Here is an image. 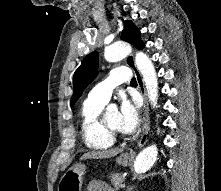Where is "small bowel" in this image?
Here are the masks:
<instances>
[{
	"label": "small bowel",
	"instance_id": "small-bowel-1",
	"mask_svg": "<svg viewBox=\"0 0 221 191\" xmlns=\"http://www.w3.org/2000/svg\"><path fill=\"white\" fill-rule=\"evenodd\" d=\"M87 191H115L108 183L103 180L94 179L89 181Z\"/></svg>",
	"mask_w": 221,
	"mask_h": 191
}]
</instances>
